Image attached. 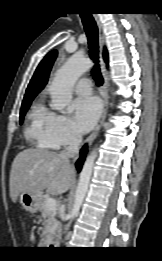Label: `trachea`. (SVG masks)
Masks as SVG:
<instances>
[{
    "label": "trachea",
    "mask_w": 162,
    "mask_h": 261,
    "mask_svg": "<svg viewBox=\"0 0 162 261\" xmlns=\"http://www.w3.org/2000/svg\"><path fill=\"white\" fill-rule=\"evenodd\" d=\"M89 44V53L91 59L95 62L94 69L92 70L93 78L97 86L103 84V78L99 68V45H98V27L91 14L81 13L80 14Z\"/></svg>",
    "instance_id": "trachea-1"
}]
</instances>
